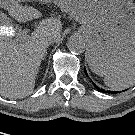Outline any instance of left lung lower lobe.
Masks as SVG:
<instances>
[{
  "mask_svg": "<svg viewBox=\"0 0 135 135\" xmlns=\"http://www.w3.org/2000/svg\"><path fill=\"white\" fill-rule=\"evenodd\" d=\"M84 72H85V74L87 75L85 68H84ZM94 86H95V88H96L98 91H100V92H102V93H111V94H116V93H117V91H105V90H103V89H100V88H98L95 84H94Z\"/></svg>",
  "mask_w": 135,
  "mask_h": 135,
  "instance_id": "obj_1",
  "label": "left lung lower lobe"
}]
</instances>
